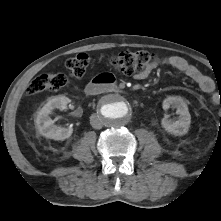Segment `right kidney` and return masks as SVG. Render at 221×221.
Here are the masks:
<instances>
[{
    "instance_id": "right-kidney-1",
    "label": "right kidney",
    "mask_w": 221,
    "mask_h": 221,
    "mask_svg": "<svg viewBox=\"0 0 221 221\" xmlns=\"http://www.w3.org/2000/svg\"><path fill=\"white\" fill-rule=\"evenodd\" d=\"M69 102V98L63 95H58L50 98L49 101L38 111L35 119V126L42 136L49 139L63 141L72 135L73 129L71 127L65 128L57 126L49 116V114L56 108L61 110L65 109Z\"/></svg>"
}]
</instances>
